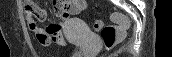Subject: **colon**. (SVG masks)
Returning a JSON list of instances; mask_svg holds the SVG:
<instances>
[{"mask_svg": "<svg viewBox=\"0 0 172 57\" xmlns=\"http://www.w3.org/2000/svg\"><path fill=\"white\" fill-rule=\"evenodd\" d=\"M25 10L26 14L33 16L39 13V9L32 4H28ZM112 18L117 23V26L103 25L101 21H96L94 24V28L100 31L107 50L113 49L123 39L125 31L129 27V21L125 16L113 14Z\"/></svg>", "mask_w": 172, "mask_h": 57, "instance_id": "colon-1", "label": "colon"}]
</instances>
